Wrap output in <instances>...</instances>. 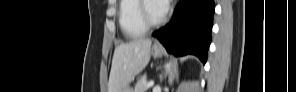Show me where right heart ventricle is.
Listing matches in <instances>:
<instances>
[{
	"mask_svg": "<svg viewBox=\"0 0 296 92\" xmlns=\"http://www.w3.org/2000/svg\"><path fill=\"white\" fill-rule=\"evenodd\" d=\"M140 2L138 0H123L119 5V25L128 38H136L146 33L147 29L139 18Z\"/></svg>",
	"mask_w": 296,
	"mask_h": 92,
	"instance_id": "right-heart-ventricle-1",
	"label": "right heart ventricle"
}]
</instances>
